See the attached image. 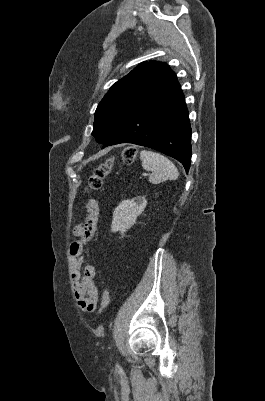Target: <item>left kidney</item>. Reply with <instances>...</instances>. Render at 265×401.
<instances>
[{"instance_id": "5707ae66", "label": "left kidney", "mask_w": 265, "mask_h": 401, "mask_svg": "<svg viewBox=\"0 0 265 401\" xmlns=\"http://www.w3.org/2000/svg\"><path fill=\"white\" fill-rule=\"evenodd\" d=\"M147 201L145 196H134L131 201H121L113 213V221L111 225L112 233H126L127 229H131L135 225L138 215L143 213Z\"/></svg>"}]
</instances>
